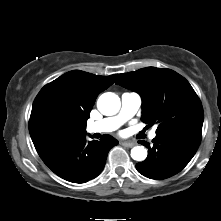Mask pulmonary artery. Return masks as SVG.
<instances>
[{
    "mask_svg": "<svg viewBox=\"0 0 221 221\" xmlns=\"http://www.w3.org/2000/svg\"><path fill=\"white\" fill-rule=\"evenodd\" d=\"M141 106V97L134 92H126L121 96V109L112 117H107L88 125L89 133H109L118 129L124 122L133 117ZM150 139L156 137V132L149 134Z\"/></svg>",
    "mask_w": 221,
    "mask_h": 221,
    "instance_id": "obj_1",
    "label": "pulmonary artery"
}]
</instances>
